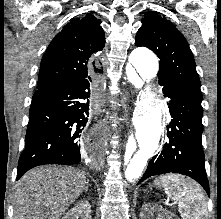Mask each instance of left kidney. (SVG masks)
I'll return each instance as SVG.
<instances>
[{
  "mask_svg": "<svg viewBox=\"0 0 221 219\" xmlns=\"http://www.w3.org/2000/svg\"><path fill=\"white\" fill-rule=\"evenodd\" d=\"M154 215L157 216L156 219H176L174 214L156 204L147 203L142 206L141 219H151Z\"/></svg>",
  "mask_w": 221,
  "mask_h": 219,
  "instance_id": "1",
  "label": "left kidney"
}]
</instances>
